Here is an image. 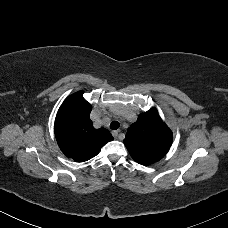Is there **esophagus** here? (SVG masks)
Wrapping results in <instances>:
<instances>
[{
	"label": "esophagus",
	"instance_id": "esophagus-1",
	"mask_svg": "<svg viewBox=\"0 0 228 228\" xmlns=\"http://www.w3.org/2000/svg\"><path fill=\"white\" fill-rule=\"evenodd\" d=\"M112 135H113V137H114L115 139H118L119 136H120V133H119L118 131H113V132H112Z\"/></svg>",
	"mask_w": 228,
	"mask_h": 228
}]
</instances>
